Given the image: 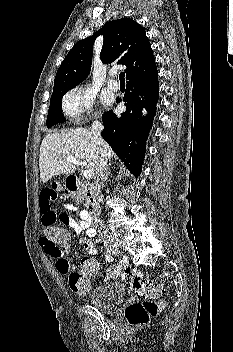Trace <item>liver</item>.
Returning <instances> with one entry per match:
<instances>
[{"label": "liver", "instance_id": "liver-1", "mask_svg": "<svg viewBox=\"0 0 233 352\" xmlns=\"http://www.w3.org/2000/svg\"><path fill=\"white\" fill-rule=\"evenodd\" d=\"M104 145L107 157L112 158L115 155L113 150L108 144L104 143ZM67 156L83 159L92 177L96 176L100 157L98 144L91 131L76 128L66 132L47 134L44 137L39 157L40 179L43 183L55 175H68L75 172L76 165L66 161Z\"/></svg>", "mask_w": 233, "mask_h": 352}]
</instances>
